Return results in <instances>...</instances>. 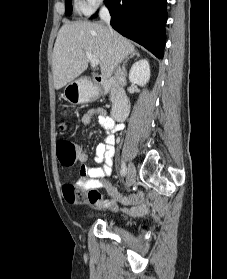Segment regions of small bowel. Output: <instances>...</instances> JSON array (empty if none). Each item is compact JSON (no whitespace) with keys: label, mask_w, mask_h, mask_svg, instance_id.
I'll list each match as a JSON object with an SVG mask.
<instances>
[{"label":"small bowel","mask_w":227,"mask_h":279,"mask_svg":"<svg viewBox=\"0 0 227 279\" xmlns=\"http://www.w3.org/2000/svg\"><path fill=\"white\" fill-rule=\"evenodd\" d=\"M93 116H96L99 125L106 130L107 135L104 138V141L96 147L94 163L97 166L88 165L90 157L86 151H81L79 153L78 160L82 164V167L80 170L81 178L76 183L77 187L80 189L89 188L92 191H96L95 189L102 187L107 190L111 197L120 199L125 205L137 204L129 209H123V211L129 212L132 215L144 214L147 210V206L142 204V196L140 194L124 196L108 180V177H110L112 172V159L115 153L114 145L116 138L113 131L121 130L122 126L116 124L113 119L107 116L104 109L97 108L89 110L82 116L81 128L87 126ZM64 197L66 201L71 204H76L80 200L75 194L74 189L65 188ZM89 201L93 205L110 207L109 202L104 201L101 195H99L98 198L89 199Z\"/></svg>","instance_id":"obj_1"}]
</instances>
